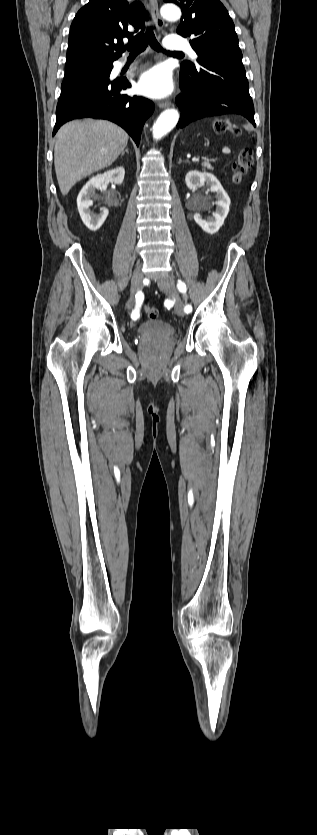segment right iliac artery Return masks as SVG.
Here are the masks:
<instances>
[{
	"instance_id": "obj_1",
	"label": "right iliac artery",
	"mask_w": 317,
	"mask_h": 835,
	"mask_svg": "<svg viewBox=\"0 0 317 835\" xmlns=\"http://www.w3.org/2000/svg\"><path fill=\"white\" fill-rule=\"evenodd\" d=\"M143 300H144V294L140 291V292H138V293L135 295L136 308H135V309L132 311V313H131V318H132L133 320L138 319V317H139V308H140V306L142 305Z\"/></svg>"
}]
</instances>
